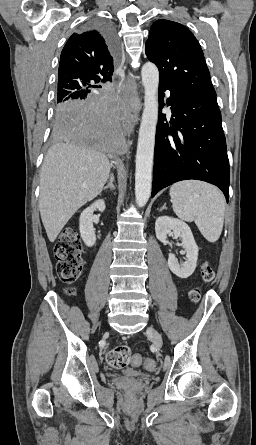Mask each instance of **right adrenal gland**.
I'll return each mask as SVG.
<instances>
[{
	"instance_id": "1",
	"label": "right adrenal gland",
	"mask_w": 256,
	"mask_h": 445,
	"mask_svg": "<svg viewBox=\"0 0 256 445\" xmlns=\"http://www.w3.org/2000/svg\"><path fill=\"white\" fill-rule=\"evenodd\" d=\"M107 189L115 190L113 174L110 175V180H109L108 185L103 188V190H107Z\"/></svg>"
}]
</instances>
